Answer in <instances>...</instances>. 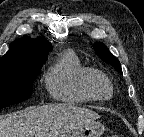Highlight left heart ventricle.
Listing matches in <instances>:
<instances>
[{"label": "left heart ventricle", "mask_w": 144, "mask_h": 137, "mask_svg": "<svg viewBox=\"0 0 144 137\" xmlns=\"http://www.w3.org/2000/svg\"><path fill=\"white\" fill-rule=\"evenodd\" d=\"M99 91L102 95L104 96H108L110 94V89L109 87L104 84V83H101L100 86H99Z\"/></svg>", "instance_id": "1"}]
</instances>
